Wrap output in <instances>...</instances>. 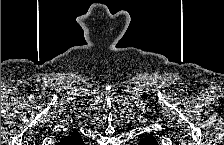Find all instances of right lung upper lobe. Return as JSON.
<instances>
[{
  "mask_svg": "<svg viewBox=\"0 0 224 145\" xmlns=\"http://www.w3.org/2000/svg\"><path fill=\"white\" fill-rule=\"evenodd\" d=\"M81 138L80 134L73 130L69 133L68 136L62 137L59 141V145H74L76 141H78Z\"/></svg>",
  "mask_w": 224,
  "mask_h": 145,
  "instance_id": "1",
  "label": "right lung upper lobe"
}]
</instances>
